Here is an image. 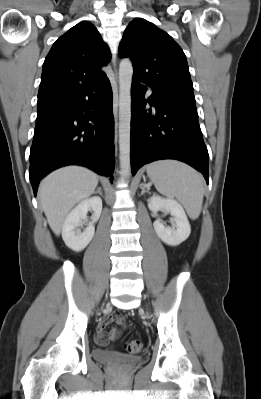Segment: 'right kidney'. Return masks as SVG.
Segmentation results:
<instances>
[{
	"label": "right kidney",
	"mask_w": 261,
	"mask_h": 399,
	"mask_svg": "<svg viewBox=\"0 0 261 399\" xmlns=\"http://www.w3.org/2000/svg\"><path fill=\"white\" fill-rule=\"evenodd\" d=\"M93 211L92 222L80 232L77 228L86 218L88 211ZM102 212V199L98 196L81 201L66 217L62 227V238L67 247L73 251H82L92 240L95 227Z\"/></svg>",
	"instance_id": "ca27d5eb"
}]
</instances>
